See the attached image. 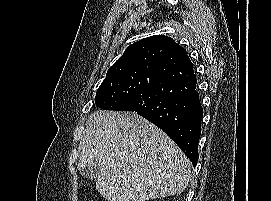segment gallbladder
I'll return each instance as SVG.
<instances>
[{
	"instance_id": "obj_1",
	"label": "gallbladder",
	"mask_w": 271,
	"mask_h": 201,
	"mask_svg": "<svg viewBox=\"0 0 271 201\" xmlns=\"http://www.w3.org/2000/svg\"><path fill=\"white\" fill-rule=\"evenodd\" d=\"M81 175L87 179H96L99 174V168L95 166L85 167L83 170L80 171Z\"/></svg>"
}]
</instances>
